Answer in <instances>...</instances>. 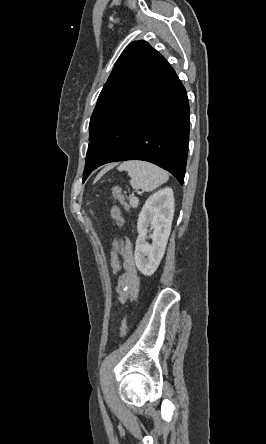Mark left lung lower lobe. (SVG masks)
<instances>
[{
    "mask_svg": "<svg viewBox=\"0 0 266 444\" xmlns=\"http://www.w3.org/2000/svg\"><path fill=\"white\" fill-rule=\"evenodd\" d=\"M187 93L175 71L108 120L92 139L83 181L97 167L143 160L184 183L189 142Z\"/></svg>",
    "mask_w": 266,
    "mask_h": 444,
    "instance_id": "0a47b994",
    "label": "left lung lower lobe"
}]
</instances>
